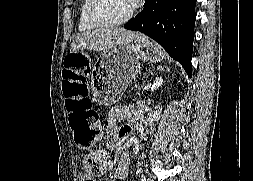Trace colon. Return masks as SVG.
Returning a JSON list of instances; mask_svg holds the SVG:
<instances>
[{"instance_id": "obj_1", "label": "colon", "mask_w": 253, "mask_h": 181, "mask_svg": "<svg viewBox=\"0 0 253 181\" xmlns=\"http://www.w3.org/2000/svg\"><path fill=\"white\" fill-rule=\"evenodd\" d=\"M80 57L70 54L66 58L63 92L66 99L68 121L75 143L84 148L93 145L101 135L99 113L93 109L86 75L79 70ZM103 150H92L83 157V167L92 176L104 171L109 162Z\"/></svg>"}]
</instances>
